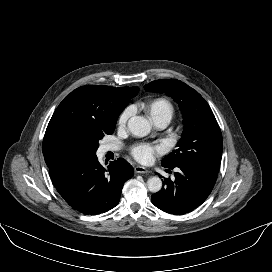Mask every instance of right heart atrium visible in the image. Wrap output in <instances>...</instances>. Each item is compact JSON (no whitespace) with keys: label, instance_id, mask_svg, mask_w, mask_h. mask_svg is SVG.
<instances>
[{"label":"right heart atrium","instance_id":"right-heart-atrium-1","mask_svg":"<svg viewBox=\"0 0 272 272\" xmlns=\"http://www.w3.org/2000/svg\"><path fill=\"white\" fill-rule=\"evenodd\" d=\"M131 113H132L131 109L127 108L119 115L117 124L120 128L125 127L129 117L131 116Z\"/></svg>","mask_w":272,"mask_h":272}]
</instances>
